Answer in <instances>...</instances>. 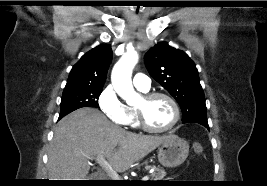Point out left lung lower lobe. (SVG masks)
I'll return each instance as SVG.
<instances>
[{"instance_id":"left-lung-lower-lobe-1","label":"left lung lower lobe","mask_w":267,"mask_h":186,"mask_svg":"<svg viewBox=\"0 0 267 186\" xmlns=\"http://www.w3.org/2000/svg\"><path fill=\"white\" fill-rule=\"evenodd\" d=\"M207 129H209V126H208V124H206V125H204Z\"/></svg>"}]
</instances>
